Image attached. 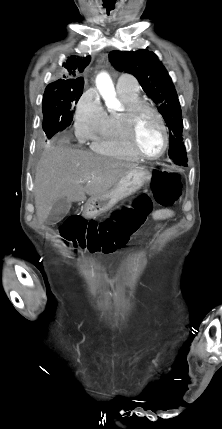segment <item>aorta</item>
I'll use <instances>...</instances> for the list:
<instances>
[{
    "instance_id": "1",
    "label": "aorta",
    "mask_w": 222,
    "mask_h": 429,
    "mask_svg": "<svg viewBox=\"0 0 222 429\" xmlns=\"http://www.w3.org/2000/svg\"><path fill=\"white\" fill-rule=\"evenodd\" d=\"M96 85L106 105L110 108H116L118 101L115 98L116 93L110 76L107 73H101L96 78Z\"/></svg>"
}]
</instances>
